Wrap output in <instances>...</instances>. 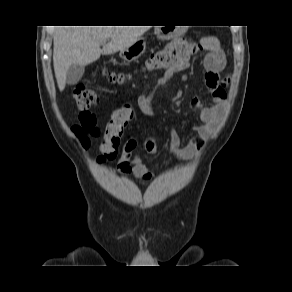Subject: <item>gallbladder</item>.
Instances as JSON below:
<instances>
[{"mask_svg": "<svg viewBox=\"0 0 292 292\" xmlns=\"http://www.w3.org/2000/svg\"><path fill=\"white\" fill-rule=\"evenodd\" d=\"M85 67L81 65H72L66 73V83L68 85L76 84L83 76Z\"/></svg>", "mask_w": 292, "mask_h": 292, "instance_id": "obj_1", "label": "gallbladder"}]
</instances>
